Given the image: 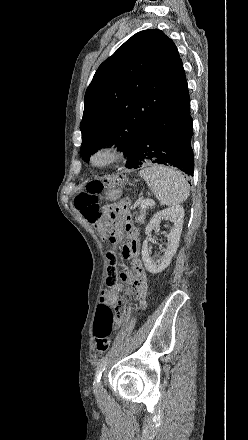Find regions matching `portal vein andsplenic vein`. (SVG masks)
Listing matches in <instances>:
<instances>
[{"instance_id":"1","label":"portal vein and splenic vein","mask_w":248,"mask_h":440,"mask_svg":"<svg viewBox=\"0 0 248 440\" xmlns=\"http://www.w3.org/2000/svg\"><path fill=\"white\" fill-rule=\"evenodd\" d=\"M154 201H152L151 199H145L142 201L141 205L142 206H148V205H154Z\"/></svg>"}]
</instances>
